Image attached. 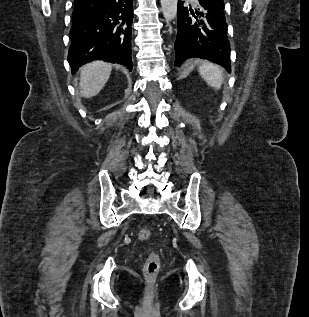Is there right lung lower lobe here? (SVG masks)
<instances>
[{"instance_id": "right-lung-lower-lobe-1", "label": "right lung lower lobe", "mask_w": 309, "mask_h": 317, "mask_svg": "<svg viewBox=\"0 0 309 317\" xmlns=\"http://www.w3.org/2000/svg\"><path fill=\"white\" fill-rule=\"evenodd\" d=\"M133 0H75L68 61L72 73L93 60L131 71Z\"/></svg>"}]
</instances>
